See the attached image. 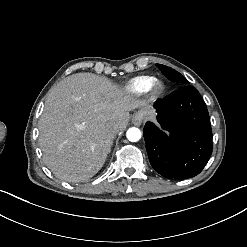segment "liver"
<instances>
[{
	"mask_svg": "<svg viewBox=\"0 0 247 247\" xmlns=\"http://www.w3.org/2000/svg\"><path fill=\"white\" fill-rule=\"evenodd\" d=\"M146 104L107 77L69 75L48 95L38 122L44 163L67 182L91 178L111 150L108 129H125L129 111Z\"/></svg>",
	"mask_w": 247,
	"mask_h": 247,
	"instance_id": "liver-1",
	"label": "liver"
}]
</instances>
